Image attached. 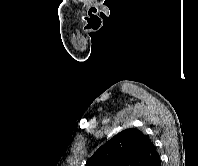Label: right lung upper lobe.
Returning a JSON list of instances; mask_svg holds the SVG:
<instances>
[{
	"label": "right lung upper lobe",
	"instance_id": "1",
	"mask_svg": "<svg viewBox=\"0 0 198 166\" xmlns=\"http://www.w3.org/2000/svg\"><path fill=\"white\" fill-rule=\"evenodd\" d=\"M158 156L146 135L129 128L102 145L85 166H150Z\"/></svg>",
	"mask_w": 198,
	"mask_h": 166
}]
</instances>
